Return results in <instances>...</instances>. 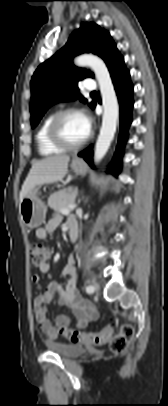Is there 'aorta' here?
Returning a JSON list of instances; mask_svg holds the SVG:
<instances>
[{"label":"aorta","mask_w":168,"mask_h":406,"mask_svg":"<svg viewBox=\"0 0 168 406\" xmlns=\"http://www.w3.org/2000/svg\"><path fill=\"white\" fill-rule=\"evenodd\" d=\"M74 63L79 67H90L99 84L104 113L102 127L94 151V162L98 163L107 153L116 132V125L119 118L117 96L108 68L102 59L92 54H83L76 57Z\"/></svg>","instance_id":"aorta-1"}]
</instances>
